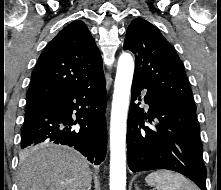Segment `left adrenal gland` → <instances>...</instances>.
Here are the masks:
<instances>
[{
	"label": "left adrenal gland",
	"instance_id": "left-adrenal-gland-1",
	"mask_svg": "<svg viewBox=\"0 0 221 190\" xmlns=\"http://www.w3.org/2000/svg\"><path fill=\"white\" fill-rule=\"evenodd\" d=\"M135 189H136V190H141V189H139V187H138V186H135Z\"/></svg>",
	"mask_w": 221,
	"mask_h": 190
}]
</instances>
